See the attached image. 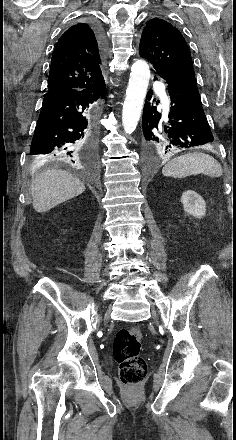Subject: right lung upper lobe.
<instances>
[{
  "instance_id": "1",
  "label": "right lung upper lobe",
  "mask_w": 236,
  "mask_h": 440,
  "mask_svg": "<svg viewBox=\"0 0 236 440\" xmlns=\"http://www.w3.org/2000/svg\"><path fill=\"white\" fill-rule=\"evenodd\" d=\"M103 62L104 54L93 27L86 23L71 26L55 46L47 93L98 84L104 79Z\"/></svg>"
}]
</instances>
